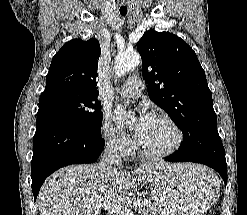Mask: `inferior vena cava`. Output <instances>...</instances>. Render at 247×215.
<instances>
[{
  "mask_svg": "<svg viewBox=\"0 0 247 215\" xmlns=\"http://www.w3.org/2000/svg\"><path fill=\"white\" fill-rule=\"evenodd\" d=\"M119 146L115 141L106 143L104 154L102 156L100 167L105 170L107 175H112L114 170L122 166V161L118 155Z\"/></svg>",
  "mask_w": 247,
  "mask_h": 215,
  "instance_id": "1",
  "label": "inferior vena cava"
}]
</instances>
